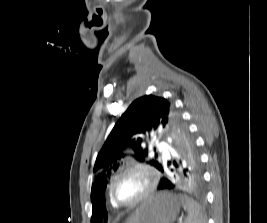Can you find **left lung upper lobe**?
Wrapping results in <instances>:
<instances>
[{
	"label": "left lung upper lobe",
	"mask_w": 267,
	"mask_h": 223,
	"mask_svg": "<svg viewBox=\"0 0 267 223\" xmlns=\"http://www.w3.org/2000/svg\"><path fill=\"white\" fill-rule=\"evenodd\" d=\"M156 130L166 134L177 156L160 162L155 155L147 163L161 172L164 169L175 171L174 167L178 171H202L194 140L173 105L167 99L153 95L138 98L116 122L98 153L93 170L98 176L92 184L91 199L88 200L89 204H93L92 218H96L95 223L107 217L108 206H105L103 198L108 178L118 169L126 150L131 148L135 158L144 162L148 155V149L144 146L150 142L151 133Z\"/></svg>",
	"instance_id": "5c2ea615"
}]
</instances>
